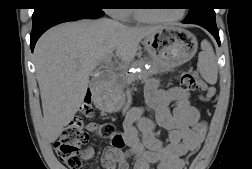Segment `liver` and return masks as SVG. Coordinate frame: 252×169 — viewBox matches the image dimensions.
Listing matches in <instances>:
<instances>
[{
	"instance_id": "obj_1",
	"label": "liver",
	"mask_w": 252,
	"mask_h": 169,
	"mask_svg": "<svg viewBox=\"0 0 252 169\" xmlns=\"http://www.w3.org/2000/svg\"><path fill=\"white\" fill-rule=\"evenodd\" d=\"M162 26L129 27L115 20L82 19L45 32L34 49L47 139L54 142L83 103L94 70L107 55L132 62L139 44Z\"/></svg>"
}]
</instances>
